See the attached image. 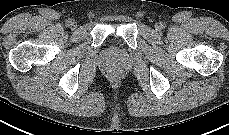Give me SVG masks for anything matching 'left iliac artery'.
Returning a JSON list of instances; mask_svg holds the SVG:
<instances>
[{
    "mask_svg": "<svg viewBox=\"0 0 229 135\" xmlns=\"http://www.w3.org/2000/svg\"><path fill=\"white\" fill-rule=\"evenodd\" d=\"M161 27H162V28H165V23L162 22V23H161Z\"/></svg>",
    "mask_w": 229,
    "mask_h": 135,
    "instance_id": "obj_1",
    "label": "left iliac artery"
}]
</instances>
